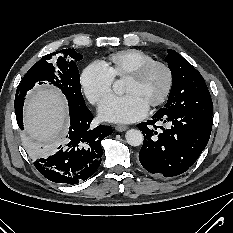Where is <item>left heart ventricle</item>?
<instances>
[{
    "mask_svg": "<svg viewBox=\"0 0 233 233\" xmlns=\"http://www.w3.org/2000/svg\"><path fill=\"white\" fill-rule=\"evenodd\" d=\"M166 83L164 71L155 67L146 73L140 80L125 79L124 92L134 94L147 106L154 102L163 92Z\"/></svg>",
    "mask_w": 233,
    "mask_h": 233,
    "instance_id": "left-heart-ventricle-1",
    "label": "left heart ventricle"
}]
</instances>
